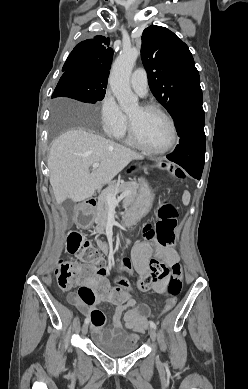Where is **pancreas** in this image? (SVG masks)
I'll return each mask as SVG.
<instances>
[{"instance_id": "1", "label": "pancreas", "mask_w": 248, "mask_h": 389, "mask_svg": "<svg viewBox=\"0 0 248 389\" xmlns=\"http://www.w3.org/2000/svg\"><path fill=\"white\" fill-rule=\"evenodd\" d=\"M140 188L141 186L137 182H122L110 185L108 187V191H110L115 196L121 192H129V195H127L124 200L125 207L129 209L135 203ZM108 211L109 204L103 193L100 196L95 216V221L97 223L96 231L99 234H104L105 232V227L108 220Z\"/></svg>"}]
</instances>
